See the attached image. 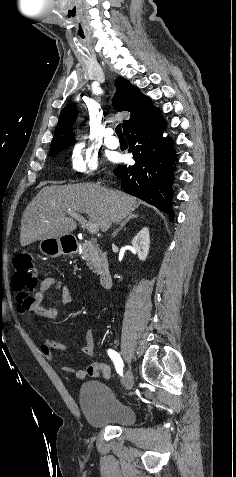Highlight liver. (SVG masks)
<instances>
[{
  "instance_id": "obj_1",
  "label": "liver",
  "mask_w": 236,
  "mask_h": 477,
  "mask_svg": "<svg viewBox=\"0 0 236 477\" xmlns=\"http://www.w3.org/2000/svg\"><path fill=\"white\" fill-rule=\"evenodd\" d=\"M139 204L133 196L91 183L45 186L22 215L20 243L27 246L71 233L77 223L66 216L69 209L86 214L90 223L106 232L113 223L132 214Z\"/></svg>"
}]
</instances>
